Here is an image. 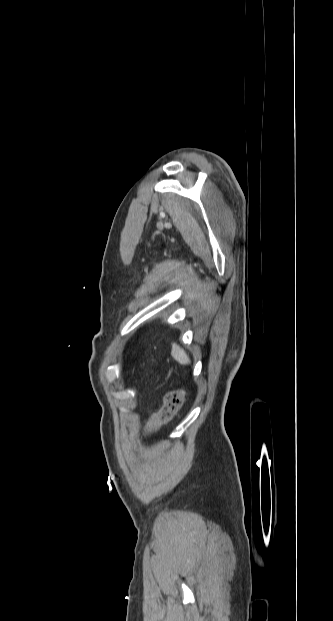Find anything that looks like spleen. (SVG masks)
<instances>
[{
  "mask_svg": "<svg viewBox=\"0 0 333 621\" xmlns=\"http://www.w3.org/2000/svg\"><path fill=\"white\" fill-rule=\"evenodd\" d=\"M171 355L177 362L182 365H188L191 363L189 355L177 344H173Z\"/></svg>",
  "mask_w": 333,
  "mask_h": 621,
  "instance_id": "obj_1",
  "label": "spleen"
}]
</instances>
